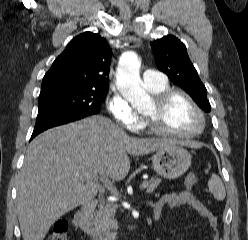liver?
<instances>
[{"label":"liver","instance_id":"liver-1","mask_svg":"<svg viewBox=\"0 0 248 240\" xmlns=\"http://www.w3.org/2000/svg\"><path fill=\"white\" fill-rule=\"evenodd\" d=\"M167 139L128 136L102 116L49 129L30 143L17 185V213L24 240H43L62 215L94 199L101 185L123 180L128 155L170 147ZM93 174L96 177H93Z\"/></svg>","mask_w":248,"mask_h":240}]
</instances>
